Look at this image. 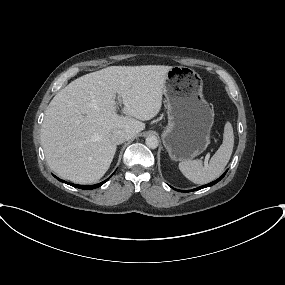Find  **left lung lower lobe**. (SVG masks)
<instances>
[{"mask_svg":"<svg viewBox=\"0 0 285 285\" xmlns=\"http://www.w3.org/2000/svg\"><path fill=\"white\" fill-rule=\"evenodd\" d=\"M225 173H226V172H225ZM225 173H224L221 177H219L217 180H215V181H213V182H211V183H209V184H207V185H203V186H200V187L195 188V189H192V190H186V191H184V192L196 191V190H199V189L208 187V186H212V185L216 184L217 182H219V181L224 177ZM177 191H181V190H177ZM181 192H182V191H181Z\"/></svg>","mask_w":285,"mask_h":285,"instance_id":"0a47b994","label":"left lung lower lobe"}]
</instances>
